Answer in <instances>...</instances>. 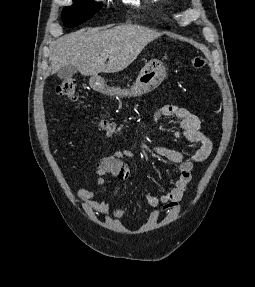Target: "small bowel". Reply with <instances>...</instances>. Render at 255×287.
Instances as JSON below:
<instances>
[{"mask_svg": "<svg viewBox=\"0 0 255 287\" xmlns=\"http://www.w3.org/2000/svg\"><path fill=\"white\" fill-rule=\"evenodd\" d=\"M164 117H174L179 120V129L172 133L173 137H183L189 142L198 143L199 148L186 156L180 151L164 146L152 147V152L156 156L163 157L177 165L179 175L167 192L159 196H140L146 205L153 207L149 215L150 222H156L160 213H169L178 208L191 181L194 164L207 160L213 148L211 140L202 132L200 119L195 114L176 104H167L154 113L153 120L157 123ZM133 155L132 151L123 150L100 158L94 168L98 184L105 185L104 176L106 174H111L119 181L126 180L129 169L124 159ZM76 195L82 200L84 209L89 216L93 217L100 214L107 218L120 219L125 214L121 207L111 205L108 201L99 198L97 193L93 191L79 188L76 190Z\"/></svg>", "mask_w": 255, "mask_h": 287, "instance_id": "obj_1", "label": "small bowel"}]
</instances>
